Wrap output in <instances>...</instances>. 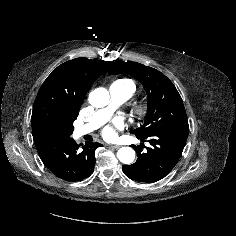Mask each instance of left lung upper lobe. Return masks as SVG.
I'll list each match as a JSON object with an SVG mask.
<instances>
[{
    "label": "left lung upper lobe",
    "mask_w": 236,
    "mask_h": 236,
    "mask_svg": "<svg viewBox=\"0 0 236 236\" xmlns=\"http://www.w3.org/2000/svg\"><path fill=\"white\" fill-rule=\"evenodd\" d=\"M112 74H128L135 77L147 92L148 110L145 123L131 132L138 139L188 124L180 94L173 83L158 70L137 62L116 61L108 72V75Z\"/></svg>",
    "instance_id": "1"
}]
</instances>
